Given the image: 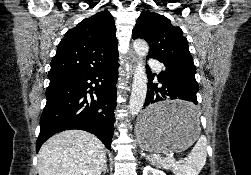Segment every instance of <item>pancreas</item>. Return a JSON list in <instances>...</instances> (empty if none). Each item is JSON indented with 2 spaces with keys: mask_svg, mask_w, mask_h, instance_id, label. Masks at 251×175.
Segmentation results:
<instances>
[{
  "mask_svg": "<svg viewBox=\"0 0 251 175\" xmlns=\"http://www.w3.org/2000/svg\"><path fill=\"white\" fill-rule=\"evenodd\" d=\"M154 165H159V167H164L165 163H168V159H161V157H155L152 155Z\"/></svg>",
  "mask_w": 251,
  "mask_h": 175,
  "instance_id": "obj_1",
  "label": "pancreas"
}]
</instances>
